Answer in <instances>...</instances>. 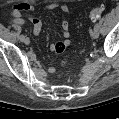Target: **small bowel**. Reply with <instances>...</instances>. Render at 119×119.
<instances>
[{"instance_id": "1", "label": "small bowel", "mask_w": 119, "mask_h": 119, "mask_svg": "<svg viewBox=\"0 0 119 119\" xmlns=\"http://www.w3.org/2000/svg\"><path fill=\"white\" fill-rule=\"evenodd\" d=\"M37 9L36 6L30 3H20L16 5L13 8L12 11V22L14 24L18 25H24L27 22V19L24 15L25 12L28 11H35ZM45 10H55L60 9L61 12L65 15V19L62 22V36L64 38V41L57 42L51 45V50L55 53H62L65 48L69 45V36H70V22H69V16H70V8L66 4H60L58 2H52L47 4L44 7ZM28 20L30 21L32 25V30L35 36H38L42 29V22L40 19L35 17H28ZM50 73H54L55 69L54 67L49 68Z\"/></svg>"}]
</instances>
